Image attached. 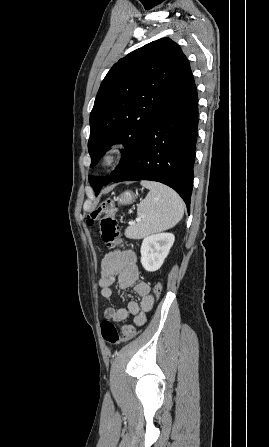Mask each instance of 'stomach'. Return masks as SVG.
I'll return each mask as SVG.
<instances>
[{
  "label": "stomach",
  "instance_id": "obj_1",
  "mask_svg": "<svg viewBox=\"0 0 269 447\" xmlns=\"http://www.w3.org/2000/svg\"><path fill=\"white\" fill-rule=\"evenodd\" d=\"M135 194L133 192H123V194H120L118 198H116L115 202H118V204H121V206H126V204H133L135 202Z\"/></svg>",
  "mask_w": 269,
  "mask_h": 447
}]
</instances>
